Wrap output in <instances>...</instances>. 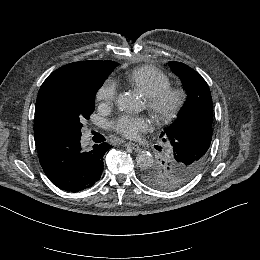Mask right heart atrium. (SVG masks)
Returning <instances> with one entry per match:
<instances>
[{
    "instance_id": "right-heart-atrium-1",
    "label": "right heart atrium",
    "mask_w": 260,
    "mask_h": 260,
    "mask_svg": "<svg viewBox=\"0 0 260 260\" xmlns=\"http://www.w3.org/2000/svg\"><path fill=\"white\" fill-rule=\"evenodd\" d=\"M117 90V84L111 79H106L99 86L96 92V98L104 104L110 105L115 99Z\"/></svg>"
}]
</instances>
